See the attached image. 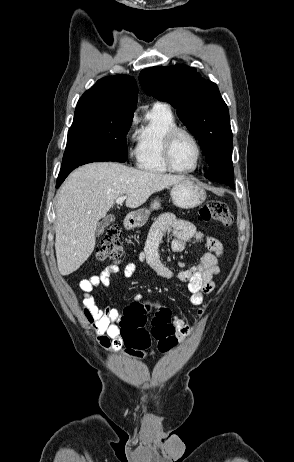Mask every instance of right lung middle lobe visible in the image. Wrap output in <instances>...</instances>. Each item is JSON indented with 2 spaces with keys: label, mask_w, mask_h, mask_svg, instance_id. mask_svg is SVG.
<instances>
[{
  "label": "right lung middle lobe",
  "mask_w": 294,
  "mask_h": 462,
  "mask_svg": "<svg viewBox=\"0 0 294 462\" xmlns=\"http://www.w3.org/2000/svg\"><path fill=\"white\" fill-rule=\"evenodd\" d=\"M132 119L133 114L114 111H75L61 171L90 162H125L126 134Z\"/></svg>",
  "instance_id": "dd1d6c3e"
}]
</instances>
